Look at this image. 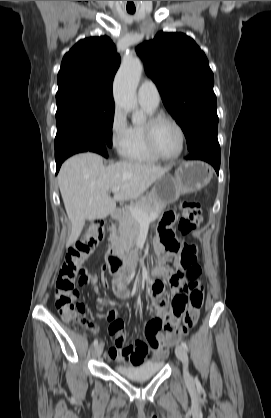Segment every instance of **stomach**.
<instances>
[{
	"label": "stomach",
	"mask_w": 271,
	"mask_h": 418,
	"mask_svg": "<svg viewBox=\"0 0 271 418\" xmlns=\"http://www.w3.org/2000/svg\"><path fill=\"white\" fill-rule=\"evenodd\" d=\"M212 176L211 166L202 161L183 162L176 169L174 176L165 174L156 180L151 192L164 204L174 203L180 195L204 188Z\"/></svg>",
	"instance_id": "1"
}]
</instances>
